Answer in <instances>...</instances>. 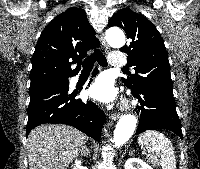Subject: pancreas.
<instances>
[{"instance_id": "obj_1", "label": "pancreas", "mask_w": 200, "mask_h": 169, "mask_svg": "<svg viewBox=\"0 0 200 169\" xmlns=\"http://www.w3.org/2000/svg\"><path fill=\"white\" fill-rule=\"evenodd\" d=\"M149 162L153 164V166H157V160L149 159Z\"/></svg>"}]
</instances>
